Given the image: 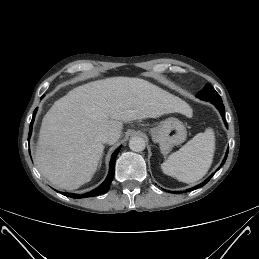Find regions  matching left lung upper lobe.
Wrapping results in <instances>:
<instances>
[{"mask_svg":"<svg viewBox=\"0 0 259 259\" xmlns=\"http://www.w3.org/2000/svg\"><path fill=\"white\" fill-rule=\"evenodd\" d=\"M197 97H199L204 101H209V102L222 101L220 95L210 84H207L204 87V89L198 93Z\"/></svg>","mask_w":259,"mask_h":259,"instance_id":"5c2ea615","label":"left lung upper lobe"}]
</instances>
